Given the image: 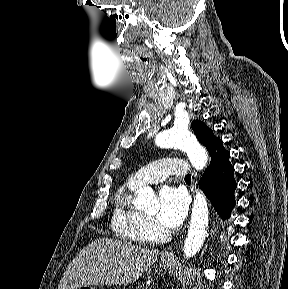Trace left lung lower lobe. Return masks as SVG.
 <instances>
[{"instance_id":"obj_1","label":"left lung lower lobe","mask_w":288,"mask_h":289,"mask_svg":"<svg viewBox=\"0 0 288 289\" xmlns=\"http://www.w3.org/2000/svg\"><path fill=\"white\" fill-rule=\"evenodd\" d=\"M211 161L204 171L199 187L211 201L222 218H229L235 206L234 192L237 187L234 179V168L229 158L230 153L219 140L209 151Z\"/></svg>"}]
</instances>
